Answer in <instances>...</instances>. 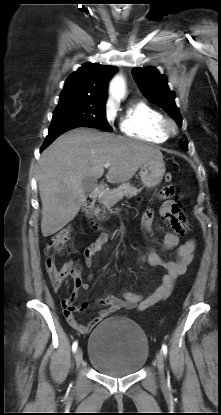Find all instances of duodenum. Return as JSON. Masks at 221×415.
<instances>
[{
  "mask_svg": "<svg viewBox=\"0 0 221 415\" xmlns=\"http://www.w3.org/2000/svg\"><path fill=\"white\" fill-rule=\"evenodd\" d=\"M102 186L99 185L97 186L91 193H89V195L86 197L85 201H84V205H83V211L84 214L91 226V228L94 231H99L100 230V226L99 224L96 222L95 217H94V208H95V203L96 200L99 198V196L102 193Z\"/></svg>",
  "mask_w": 221,
  "mask_h": 415,
  "instance_id": "duodenum-1",
  "label": "duodenum"
}]
</instances>
